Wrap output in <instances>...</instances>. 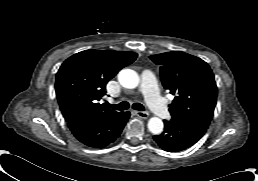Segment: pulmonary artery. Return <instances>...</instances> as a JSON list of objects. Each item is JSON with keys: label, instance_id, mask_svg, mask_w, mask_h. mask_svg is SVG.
I'll list each match as a JSON object with an SVG mask.
<instances>
[{"label": "pulmonary artery", "instance_id": "pulmonary-artery-1", "mask_svg": "<svg viewBox=\"0 0 258 181\" xmlns=\"http://www.w3.org/2000/svg\"><path fill=\"white\" fill-rule=\"evenodd\" d=\"M141 91L150 109L160 118H167L169 111L158 93V87L154 74L144 71L141 75Z\"/></svg>", "mask_w": 258, "mask_h": 181}]
</instances>
